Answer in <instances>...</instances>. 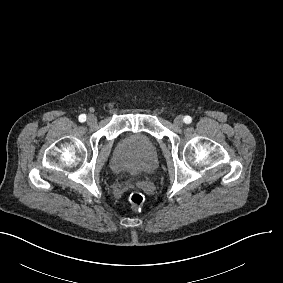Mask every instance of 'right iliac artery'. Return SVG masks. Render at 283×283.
<instances>
[{"instance_id":"obj_1","label":"right iliac artery","mask_w":283,"mask_h":283,"mask_svg":"<svg viewBox=\"0 0 283 283\" xmlns=\"http://www.w3.org/2000/svg\"><path fill=\"white\" fill-rule=\"evenodd\" d=\"M79 121H80V122L86 121V115H85V114H81V115L79 116Z\"/></svg>"}]
</instances>
